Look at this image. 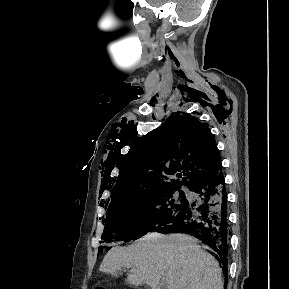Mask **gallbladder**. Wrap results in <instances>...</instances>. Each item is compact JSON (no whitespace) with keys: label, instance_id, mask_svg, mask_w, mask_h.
<instances>
[{"label":"gallbladder","instance_id":"gallbladder-1","mask_svg":"<svg viewBox=\"0 0 289 289\" xmlns=\"http://www.w3.org/2000/svg\"><path fill=\"white\" fill-rule=\"evenodd\" d=\"M138 289H148V288H138Z\"/></svg>","mask_w":289,"mask_h":289}]
</instances>
